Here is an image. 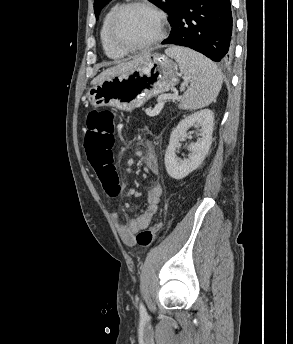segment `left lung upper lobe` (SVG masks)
<instances>
[{"label": "left lung upper lobe", "mask_w": 293, "mask_h": 344, "mask_svg": "<svg viewBox=\"0 0 293 344\" xmlns=\"http://www.w3.org/2000/svg\"><path fill=\"white\" fill-rule=\"evenodd\" d=\"M111 0H95L94 11L96 18L99 16L102 8L107 5ZM159 8L163 9L169 15V23L171 24L179 6L180 0H149Z\"/></svg>", "instance_id": "left-lung-upper-lobe-1"}]
</instances>
